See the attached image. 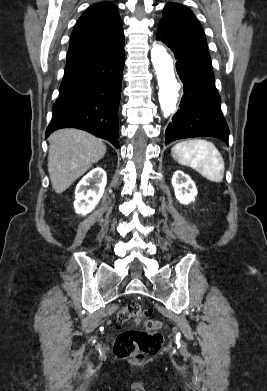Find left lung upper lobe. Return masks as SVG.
<instances>
[{
    "mask_svg": "<svg viewBox=\"0 0 267 391\" xmlns=\"http://www.w3.org/2000/svg\"><path fill=\"white\" fill-rule=\"evenodd\" d=\"M158 30L207 48L206 37L200 22L193 12L183 5L168 3L164 7Z\"/></svg>",
    "mask_w": 267,
    "mask_h": 391,
    "instance_id": "left-lung-upper-lobe-1",
    "label": "left lung upper lobe"
}]
</instances>
